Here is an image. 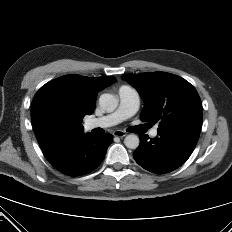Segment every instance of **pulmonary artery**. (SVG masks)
<instances>
[{"instance_id": "e3ab8cb5", "label": "pulmonary artery", "mask_w": 232, "mask_h": 232, "mask_svg": "<svg viewBox=\"0 0 232 232\" xmlns=\"http://www.w3.org/2000/svg\"><path fill=\"white\" fill-rule=\"evenodd\" d=\"M118 98L119 106L115 112L100 118L86 121L84 128L86 130H92L95 128L112 127L130 118L138 111L140 105V96L135 89L129 86L120 87L118 90ZM157 130L158 126H155L150 132L151 136H156L158 133Z\"/></svg>"}]
</instances>
